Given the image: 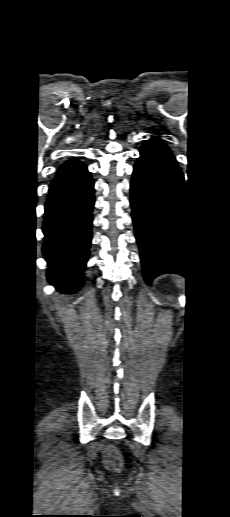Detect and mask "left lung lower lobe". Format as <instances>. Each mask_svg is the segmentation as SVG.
Returning a JSON list of instances; mask_svg holds the SVG:
<instances>
[{"label":"left lung lower lobe","mask_w":230,"mask_h":517,"mask_svg":"<svg viewBox=\"0 0 230 517\" xmlns=\"http://www.w3.org/2000/svg\"><path fill=\"white\" fill-rule=\"evenodd\" d=\"M132 218L147 284L160 274H188L183 262L184 176L168 147L151 138L140 148L130 184Z\"/></svg>","instance_id":"left-lung-lower-lobe-1"}]
</instances>
